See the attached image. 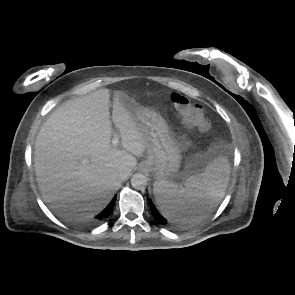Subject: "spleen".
<instances>
[{
    "label": "spleen",
    "mask_w": 295,
    "mask_h": 295,
    "mask_svg": "<svg viewBox=\"0 0 295 295\" xmlns=\"http://www.w3.org/2000/svg\"><path fill=\"white\" fill-rule=\"evenodd\" d=\"M229 175V162L218 157L208 163L202 173L187 178L183 186L158 179L154 182L158 208L170 221L181 224L199 223L205 215L191 216L192 209L197 203L212 205L220 201L229 182Z\"/></svg>",
    "instance_id": "spleen-1"
}]
</instances>
